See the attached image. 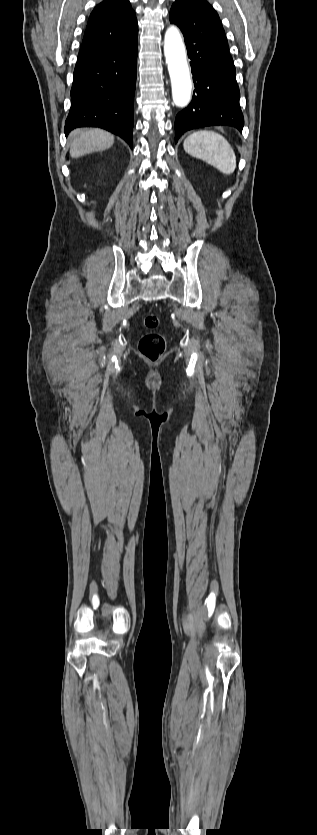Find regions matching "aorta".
Returning <instances> with one entry per match:
<instances>
[{
    "mask_svg": "<svg viewBox=\"0 0 317 835\" xmlns=\"http://www.w3.org/2000/svg\"><path fill=\"white\" fill-rule=\"evenodd\" d=\"M164 55L171 80L173 102L177 107L184 108L191 100L192 81L185 45L179 29L174 25L165 32Z\"/></svg>",
    "mask_w": 317,
    "mask_h": 835,
    "instance_id": "1",
    "label": "aorta"
}]
</instances>
